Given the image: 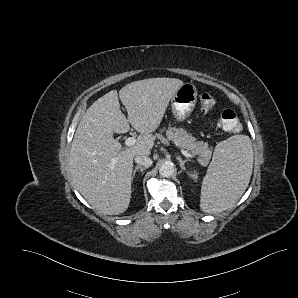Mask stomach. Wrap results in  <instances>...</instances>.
Returning a JSON list of instances; mask_svg holds the SVG:
<instances>
[{
  "label": "stomach",
  "instance_id": "1",
  "mask_svg": "<svg viewBox=\"0 0 298 298\" xmlns=\"http://www.w3.org/2000/svg\"><path fill=\"white\" fill-rule=\"evenodd\" d=\"M198 99V91L193 83L185 82L171 99V112L177 122L190 117Z\"/></svg>",
  "mask_w": 298,
  "mask_h": 298
}]
</instances>
